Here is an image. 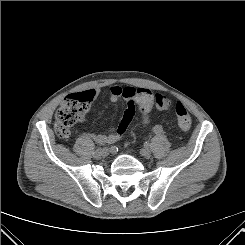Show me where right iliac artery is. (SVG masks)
I'll return each instance as SVG.
<instances>
[{
	"instance_id": "right-iliac-artery-1",
	"label": "right iliac artery",
	"mask_w": 245,
	"mask_h": 245,
	"mask_svg": "<svg viewBox=\"0 0 245 245\" xmlns=\"http://www.w3.org/2000/svg\"><path fill=\"white\" fill-rule=\"evenodd\" d=\"M103 153H108V148H103V151H102Z\"/></svg>"
}]
</instances>
